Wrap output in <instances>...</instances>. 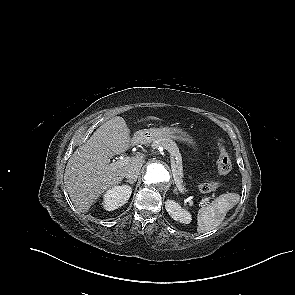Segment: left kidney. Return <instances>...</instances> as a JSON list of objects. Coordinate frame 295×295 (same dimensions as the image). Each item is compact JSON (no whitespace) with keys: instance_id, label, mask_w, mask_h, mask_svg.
<instances>
[{"instance_id":"1","label":"left kidney","mask_w":295,"mask_h":295,"mask_svg":"<svg viewBox=\"0 0 295 295\" xmlns=\"http://www.w3.org/2000/svg\"><path fill=\"white\" fill-rule=\"evenodd\" d=\"M165 208L169 215L176 221L184 224H189L191 222L190 213L183 209L178 203L173 200H167L165 202Z\"/></svg>"}]
</instances>
